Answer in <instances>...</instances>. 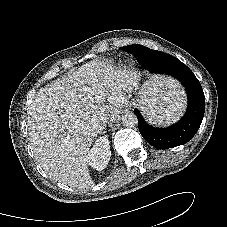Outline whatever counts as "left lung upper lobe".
<instances>
[{
    "label": "left lung upper lobe",
    "mask_w": 227,
    "mask_h": 227,
    "mask_svg": "<svg viewBox=\"0 0 227 227\" xmlns=\"http://www.w3.org/2000/svg\"><path fill=\"white\" fill-rule=\"evenodd\" d=\"M134 45H136V44H134ZM134 45L125 46V47H122L121 49L124 50V51H126V52H128V53H130L129 52V49L132 48ZM164 55H165V57H166L167 60H169V59H177V58H175V57H173L171 55H168L166 53H164Z\"/></svg>",
    "instance_id": "1"
}]
</instances>
